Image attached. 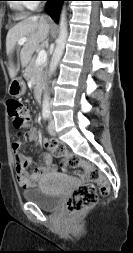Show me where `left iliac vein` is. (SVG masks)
Listing matches in <instances>:
<instances>
[{
    "label": "left iliac vein",
    "instance_id": "left-iliac-vein-1",
    "mask_svg": "<svg viewBox=\"0 0 133 253\" xmlns=\"http://www.w3.org/2000/svg\"><path fill=\"white\" fill-rule=\"evenodd\" d=\"M47 130L50 135H55V124H54L53 119L50 120Z\"/></svg>",
    "mask_w": 133,
    "mask_h": 253
}]
</instances>
